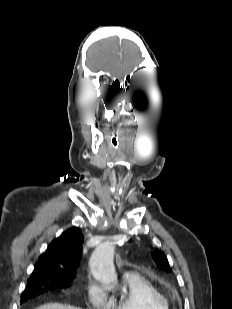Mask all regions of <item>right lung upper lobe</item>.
Masks as SVG:
<instances>
[{"label":"right lung upper lobe","mask_w":232,"mask_h":309,"mask_svg":"<svg viewBox=\"0 0 232 309\" xmlns=\"http://www.w3.org/2000/svg\"><path fill=\"white\" fill-rule=\"evenodd\" d=\"M82 232L73 227L54 239L39 257L30 277L46 274L73 280L82 255Z\"/></svg>","instance_id":"right-lung-upper-lobe-1"}]
</instances>
